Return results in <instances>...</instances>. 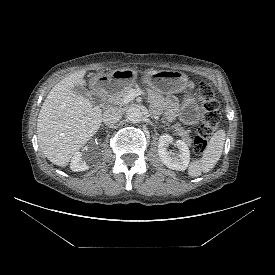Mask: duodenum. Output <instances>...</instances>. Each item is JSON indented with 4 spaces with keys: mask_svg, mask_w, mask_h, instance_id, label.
<instances>
[{
    "mask_svg": "<svg viewBox=\"0 0 275 275\" xmlns=\"http://www.w3.org/2000/svg\"><path fill=\"white\" fill-rule=\"evenodd\" d=\"M97 96L101 101V106L104 108L105 107V96H104V94L102 92H98Z\"/></svg>",
    "mask_w": 275,
    "mask_h": 275,
    "instance_id": "1",
    "label": "duodenum"
}]
</instances>
